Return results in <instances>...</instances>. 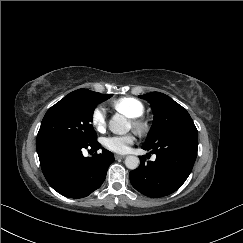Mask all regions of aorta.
Listing matches in <instances>:
<instances>
[{"instance_id":"aorta-1","label":"aorta","mask_w":243,"mask_h":243,"mask_svg":"<svg viewBox=\"0 0 243 243\" xmlns=\"http://www.w3.org/2000/svg\"><path fill=\"white\" fill-rule=\"evenodd\" d=\"M109 129L115 134L123 135L129 132L130 124L124 116L115 114L109 121ZM139 164L140 160L136 156L129 155L125 159V165L128 169L134 170L138 168Z\"/></svg>"}]
</instances>
